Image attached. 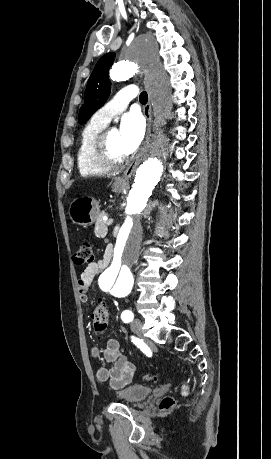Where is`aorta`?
<instances>
[{
  "instance_id": "aorta-1",
  "label": "aorta",
  "mask_w": 271,
  "mask_h": 459,
  "mask_svg": "<svg viewBox=\"0 0 271 459\" xmlns=\"http://www.w3.org/2000/svg\"><path fill=\"white\" fill-rule=\"evenodd\" d=\"M141 70L149 74L153 112L157 124H162L170 117L172 109L171 83L159 62L157 47L150 38H138L131 45L128 58L113 65L110 77L114 81H124ZM169 154L168 138L157 131L141 156L126 199L113 259L99 277L100 288L113 296L123 297L132 290L134 277L131 268L139 257L142 220L147 217L148 199L164 173Z\"/></svg>"
}]
</instances>
